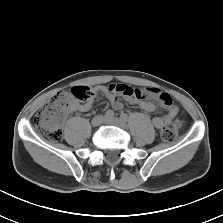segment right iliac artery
Masks as SVG:
<instances>
[{"label":"right iliac artery","instance_id":"82829eb1","mask_svg":"<svg viewBox=\"0 0 223 223\" xmlns=\"http://www.w3.org/2000/svg\"><path fill=\"white\" fill-rule=\"evenodd\" d=\"M106 118H113L114 117V112L112 110H108L105 113Z\"/></svg>","mask_w":223,"mask_h":223}]
</instances>
